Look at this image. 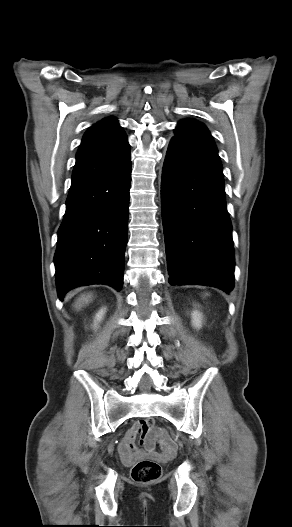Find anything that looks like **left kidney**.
Returning a JSON list of instances; mask_svg holds the SVG:
<instances>
[{
    "instance_id": "obj_1",
    "label": "left kidney",
    "mask_w": 292,
    "mask_h": 527,
    "mask_svg": "<svg viewBox=\"0 0 292 527\" xmlns=\"http://www.w3.org/2000/svg\"><path fill=\"white\" fill-rule=\"evenodd\" d=\"M191 317H192V325L195 328L200 329L202 327V320H203L202 314L199 311L195 310L191 313Z\"/></svg>"
}]
</instances>
